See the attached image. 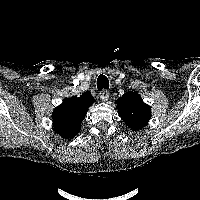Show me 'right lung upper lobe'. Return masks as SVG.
I'll use <instances>...</instances> for the list:
<instances>
[{
	"label": "right lung upper lobe",
	"mask_w": 200,
	"mask_h": 200,
	"mask_svg": "<svg viewBox=\"0 0 200 200\" xmlns=\"http://www.w3.org/2000/svg\"><path fill=\"white\" fill-rule=\"evenodd\" d=\"M94 99L90 93H84L80 97L66 98L53 112V127L57 134L63 138H72L81 129V123L85 118L89 106Z\"/></svg>",
	"instance_id": "1"
}]
</instances>
